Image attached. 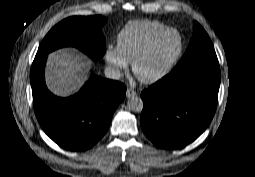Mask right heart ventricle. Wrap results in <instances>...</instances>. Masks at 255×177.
Instances as JSON below:
<instances>
[{"label":"right heart ventricle","mask_w":255,"mask_h":177,"mask_svg":"<svg viewBox=\"0 0 255 177\" xmlns=\"http://www.w3.org/2000/svg\"><path fill=\"white\" fill-rule=\"evenodd\" d=\"M167 28L158 21L137 20L127 23L118 35V45L128 62H132L156 33Z\"/></svg>","instance_id":"e07e8e85"}]
</instances>
